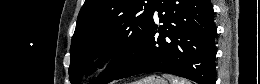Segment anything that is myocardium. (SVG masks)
I'll list each match as a JSON object with an SVG mask.
<instances>
[{
    "mask_svg": "<svg viewBox=\"0 0 260 84\" xmlns=\"http://www.w3.org/2000/svg\"><path fill=\"white\" fill-rule=\"evenodd\" d=\"M119 61L118 51L112 47L99 49L91 58L90 67L98 74H103L113 69Z\"/></svg>",
    "mask_w": 260,
    "mask_h": 84,
    "instance_id": "f54148a6",
    "label": "myocardium"
}]
</instances>
